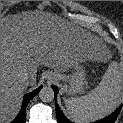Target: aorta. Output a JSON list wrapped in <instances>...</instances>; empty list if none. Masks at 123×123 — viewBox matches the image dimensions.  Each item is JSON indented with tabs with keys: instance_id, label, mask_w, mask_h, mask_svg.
Listing matches in <instances>:
<instances>
[{
	"instance_id": "obj_1",
	"label": "aorta",
	"mask_w": 123,
	"mask_h": 123,
	"mask_svg": "<svg viewBox=\"0 0 123 123\" xmlns=\"http://www.w3.org/2000/svg\"><path fill=\"white\" fill-rule=\"evenodd\" d=\"M39 98L43 102H51L54 99V91L51 87H43L39 92Z\"/></svg>"
}]
</instances>
